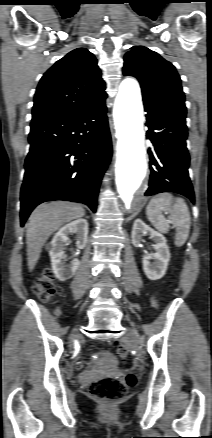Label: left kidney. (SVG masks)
<instances>
[{
	"instance_id": "left-kidney-1",
	"label": "left kidney",
	"mask_w": 212,
	"mask_h": 438,
	"mask_svg": "<svg viewBox=\"0 0 212 438\" xmlns=\"http://www.w3.org/2000/svg\"><path fill=\"white\" fill-rule=\"evenodd\" d=\"M144 235H150V238L155 242L154 248L156 249V253L153 256L148 255L147 251H145L142 259L144 273L150 280L161 279L166 273L170 260V251L166 238L145 224L141 219H136L131 233L132 244L135 247H140L142 236ZM150 259H154L155 262L150 263Z\"/></svg>"
}]
</instances>
